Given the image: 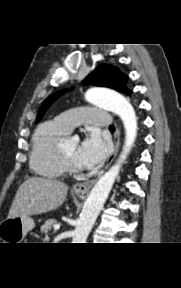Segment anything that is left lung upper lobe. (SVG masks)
I'll return each instance as SVG.
<instances>
[{
  "label": "left lung upper lobe",
  "instance_id": "1",
  "mask_svg": "<svg viewBox=\"0 0 181 288\" xmlns=\"http://www.w3.org/2000/svg\"><path fill=\"white\" fill-rule=\"evenodd\" d=\"M128 77L122 74L116 67L102 64L96 68V70L91 73L85 80V84H93L102 87L112 88L119 92L130 94L131 91H128L126 88V82ZM61 94V92L55 93L48 97L42 104L38 116L37 122L44 115L47 108L50 104Z\"/></svg>",
  "mask_w": 181,
  "mask_h": 288
}]
</instances>
